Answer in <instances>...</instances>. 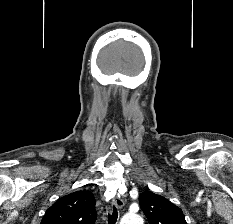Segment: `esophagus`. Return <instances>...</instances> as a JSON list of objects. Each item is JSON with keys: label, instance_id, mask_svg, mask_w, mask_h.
<instances>
[{"label": "esophagus", "instance_id": "obj_1", "mask_svg": "<svg viewBox=\"0 0 233 224\" xmlns=\"http://www.w3.org/2000/svg\"><path fill=\"white\" fill-rule=\"evenodd\" d=\"M113 205H115L118 209H122L124 206V201L121 197H116L112 201Z\"/></svg>", "mask_w": 233, "mask_h": 224}]
</instances>
